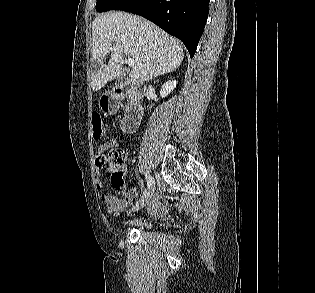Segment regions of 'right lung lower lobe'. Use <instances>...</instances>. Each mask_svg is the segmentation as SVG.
<instances>
[{"mask_svg": "<svg viewBox=\"0 0 315 293\" xmlns=\"http://www.w3.org/2000/svg\"><path fill=\"white\" fill-rule=\"evenodd\" d=\"M209 0H121L112 10L141 15L179 38L193 57L208 16Z\"/></svg>", "mask_w": 315, "mask_h": 293, "instance_id": "right-lung-lower-lobe-1", "label": "right lung lower lobe"}]
</instances>
